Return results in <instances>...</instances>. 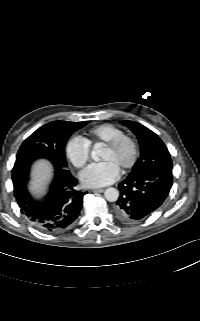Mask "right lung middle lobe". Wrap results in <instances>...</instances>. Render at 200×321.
<instances>
[{
    "label": "right lung middle lobe",
    "mask_w": 200,
    "mask_h": 321,
    "mask_svg": "<svg viewBox=\"0 0 200 321\" xmlns=\"http://www.w3.org/2000/svg\"><path fill=\"white\" fill-rule=\"evenodd\" d=\"M87 123L88 121H53L43 125L22 143L16 161L44 157L63 168H67L66 142L73 132L84 127Z\"/></svg>",
    "instance_id": "1"
}]
</instances>
